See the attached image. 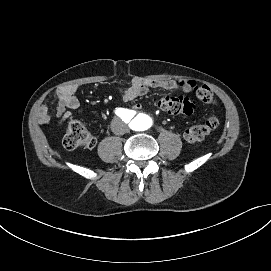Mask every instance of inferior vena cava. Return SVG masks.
Segmentation results:
<instances>
[{"mask_svg":"<svg viewBox=\"0 0 271 271\" xmlns=\"http://www.w3.org/2000/svg\"><path fill=\"white\" fill-rule=\"evenodd\" d=\"M111 128L114 134L122 135L125 133L127 126L125 125V123L120 121L119 123H113L111 125Z\"/></svg>","mask_w":271,"mask_h":271,"instance_id":"602c4592","label":"inferior vena cava"}]
</instances>
